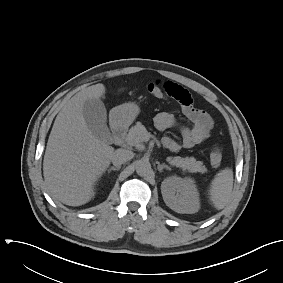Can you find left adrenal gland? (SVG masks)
<instances>
[{"instance_id": "left-adrenal-gland-1", "label": "left adrenal gland", "mask_w": 283, "mask_h": 283, "mask_svg": "<svg viewBox=\"0 0 283 283\" xmlns=\"http://www.w3.org/2000/svg\"><path fill=\"white\" fill-rule=\"evenodd\" d=\"M157 169H158L159 172H162L163 169L171 170V168L164 163L163 164L158 163Z\"/></svg>"}]
</instances>
